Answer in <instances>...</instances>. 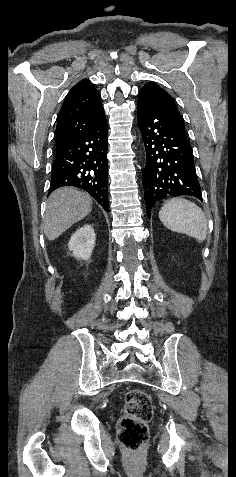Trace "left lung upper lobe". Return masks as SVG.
<instances>
[{
  "mask_svg": "<svg viewBox=\"0 0 236 477\" xmlns=\"http://www.w3.org/2000/svg\"><path fill=\"white\" fill-rule=\"evenodd\" d=\"M147 92L156 102L163 113L168 116L173 123L185 131V125L181 115L178 113L172 97L154 82H148L142 90Z\"/></svg>",
  "mask_w": 236,
  "mask_h": 477,
  "instance_id": "5c2ea615",
  "label": "left lung upper lobe"
}]
</instances>
